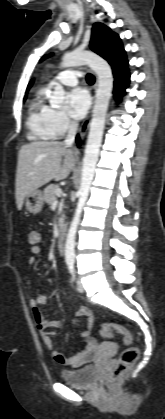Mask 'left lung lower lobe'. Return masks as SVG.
I'll return each mask as SVG.
<instances>
[{
	"instance_id": "0a47b994",
	"label": "left lung lower lobe",
	"mask_w": 165,
	"mask_h": 419,
	"mask_svg": "<svg viewBox=\"0 0 165 419\" xmlns=\"http://www.w3.org/2000/svg\"><path fill=\"white\" fill-rule=\"evenodd\" d=\"M114 81V95L119 101L125 94V89L129 85L130 75L128 71V62L126 59L125 51H123L111 64Z\"/></svg>"
}]
</instances>
